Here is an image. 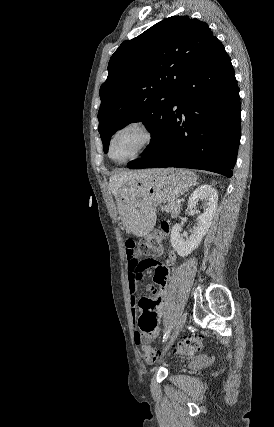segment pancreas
<instances>
[{
  "instance_id": "cf45deb5",
  "label": "pancreas",
  "mask_w": 274,
  "mask_h": 427,
  "mask_svg": "<svg viewBox=\"0 0 274 427\" xmlns=\"http://www.w3.org/2000/svg\"><path fill=\"white\" fill-rule=\"evenodd\" d=\"M164 212H170L171 217H176V215L180 214L181 204H176L174 200H170L166 206H161Z\"/></svg>"
}]
</instances>
